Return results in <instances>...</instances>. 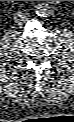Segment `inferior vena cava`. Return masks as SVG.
<instances>
[{
	"label": "inferior vena cava",
	"instance_id": "inferior-vena-cava-1",
	"mask_svg": "<svg viewBox=\"0 0 74 122\" xmlns=\"http://www.w3.org/2000/svg\"><path fill=\"white\" fill-rule=\"evenodd\" d=\"M29 14L22 11H17L14 17L16 23H23L28 19Z\"/></svg>",
	"mask_w": 74,
	"mask_h": 122
}]
</instances>
